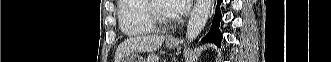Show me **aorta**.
I'll return each instance as SVG.
<instances>
[{"label":"aorta","instance_id":"obj_1","mask_svg":"<svg viewBox=\"0 0 331 62\" xmlns=\"http://www.w3.org/2000/svg\"><path fill=\"white\" fill-rule=\"evenodd\" d=\"M212 2L213 0H196L187 25L186 40L188 43L194 41L205 27Z\"/></svg>","mask_w":331,"mask_h":62}]
</instances>
